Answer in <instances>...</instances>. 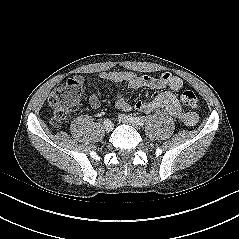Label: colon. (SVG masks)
<instances>
[{
    "label": "colon",
    "instance_id": "1",
    "mask_svg": "<svg viewBox=\"0 0 239 239\" xmlns=\"http://www.w3.org/2000/svg\"><path fill=\"white\" fill-rule=\"evenodd\" d=\"M83 84L76 79H69L59 84L50 94L48 105L51 111V123L55 127L61 126L69 115L79 106ZM181 101L189 108H197L199 99L192 90L181 93Z\"/></svg>",
    "mask_w": 239,
    "mask_h": 239
}]
</instances>
